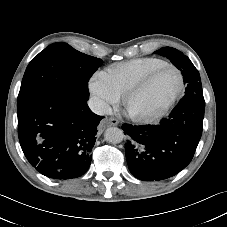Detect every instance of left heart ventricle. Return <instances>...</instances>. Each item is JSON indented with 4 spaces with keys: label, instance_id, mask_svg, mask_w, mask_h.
<instances>
[{
    "label": "left heart ventricle",
    "instance_id": "left-heart-ventricle-1",
    "mask_svg": "<svg viewBox=\"0 0 227 227\" xmlns=\"http://www.w3.org/2000/svg\"><path fill=\"white\" fill-rule=\"evenodd\" d=\"M179 86V76L174 69H165L128 103L134 114L150 115L160 111L173 97Z\"/></svg>",
    "mask_w": 227,
    "mask_h": 227
}]
</instances>
